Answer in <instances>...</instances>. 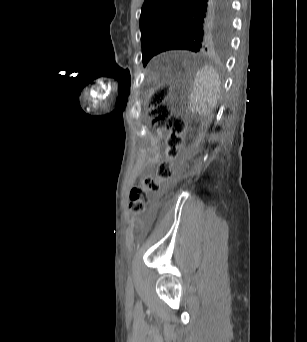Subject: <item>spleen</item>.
<instances>
[{"mask_svg": "<svg viewBox=\"0 0 307 342\" xmlns=\"http://www.w3.org/2000/svg\"><path fill=\"white\" fill-rule=\"evenodd\" d=\"M221 80L213 66H204L195 74L187 105L193 114H213L219 100Z\"/></svg>", "mask_w": 307, "mask_h": 342, "instance_id": "1", "label": "spleen"}]
</instances>
